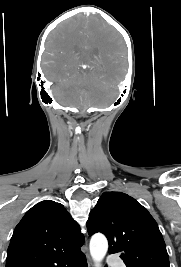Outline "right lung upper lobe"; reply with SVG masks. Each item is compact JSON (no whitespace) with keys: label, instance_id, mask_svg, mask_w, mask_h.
<instances>
[{"label":"right lung upper lobe","instance_id":"cb5924a9","mask_svg":"<svg viewBox=\"0 0 181 267\" xmlns=\"http://www.w3.org/2000/svg\"><path fill=\"white\" fill-rule=\"evenodd\" d=\"M84 236L63 205L44 200L16 226L7 250L6 267H58L80 253Z\"/></svg>","mask_w":181,"mask_h":267}]
</instances>
